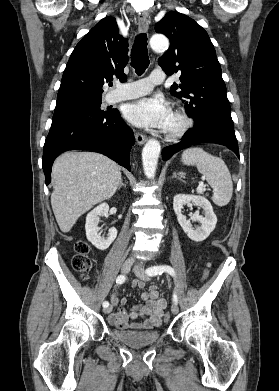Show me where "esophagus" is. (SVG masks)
<instances>
[{"label":"esophagus","instance_id":"1","mask_svg":"<svg viewBox=\"0 0 279 391\" xmlns=\"http://www.w3.org/2000/svg\"><path fill=\"white\" fill-rule=\"evenodd\" d=\"M138 24L141 31L146 32L148 30V15L146 13H138ZM136 141L139 145L147 141V136L141 133H136Z\"/></svg>","mask_w":279,"mask_h":391}]
</instances>
